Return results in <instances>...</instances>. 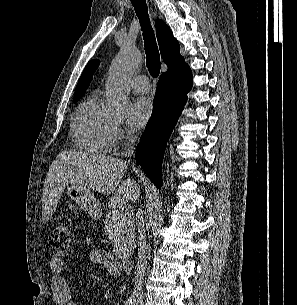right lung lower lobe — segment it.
Returning a JSON list of instances; mask_svg holds the SVG:
<instances>
[{"label":"right lung lower lobe","instance_id":"obj_1","mask_svg":"<svg viewBox=\"0 0 297 305\" xmlns=\"http://www.w3.org/2000/svg\"><path fill=\"white\" fill-rule=\"evenodd\" d=\"M192 72L187 65L176 73H163L158 81L154 108L141 141L136 161L155 185H162L161 167L166 143L187 101Z\"/></svg>","mask_w":297,"mask_h":305}]
</instances>
